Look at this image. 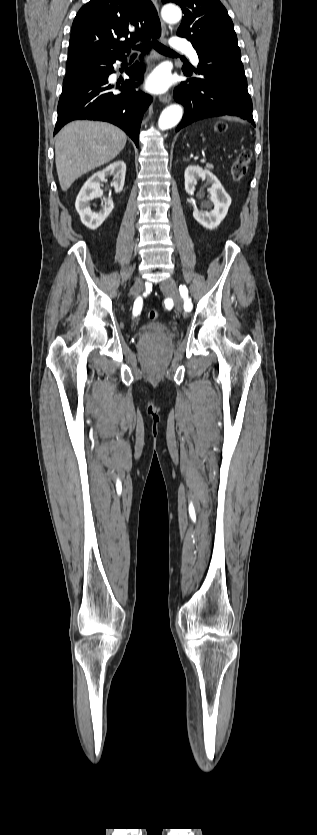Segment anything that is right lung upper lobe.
Segmentation results:
<instances>
[{"instance_id":"1","label":"right lung upper lobe","mask_w":317,"mask_h":835,"mask_svg":"<svg viewBox=\"0 0 317 835\" xmlns=\"http://www.w3.org/2000/svg\"><path fill=\"white\" fill-rule=\"evenodd\" d=\"M160 32L157 12L149 0H91L73 21L68 55H125L139 40L148 41Z\"/></svg>"}]
</instances>
